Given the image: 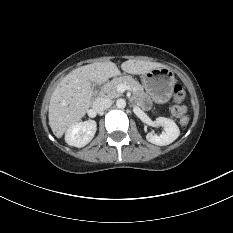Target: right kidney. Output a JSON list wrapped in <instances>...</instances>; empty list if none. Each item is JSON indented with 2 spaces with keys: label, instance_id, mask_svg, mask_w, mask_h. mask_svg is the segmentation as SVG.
Returning <instances> with one entry per match:
<instances>
[{
  "label": "right kidney",
  "instance_id": "obj_1",
  "mask_svg": "<svg viewBox=\"0 0 233 233\" xmlns=\"http://www.w3.org/2000/svg\"><path fill=\"white\" fill-rule=\"evenodd\" d=\"M96 130L97 125L94 120L77 122L67 129L65 141L70 146L84 147L93 139Z\"/></svg>",
  "mask_w": 233,
  "mask_h": 233
}]
</instances>
